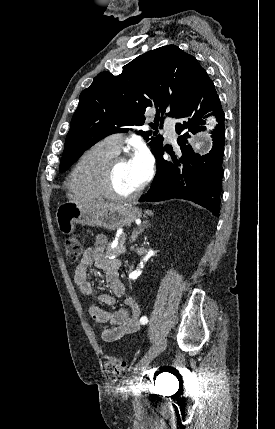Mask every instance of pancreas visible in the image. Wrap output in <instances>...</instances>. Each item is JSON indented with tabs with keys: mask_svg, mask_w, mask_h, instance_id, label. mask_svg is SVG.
<instances>
[{
	"mask_svg": "<svg viewBox=\"0 0 275 429\" xmlns=\"http://www.w3.org/2000/svg\"><path fill=\"white\" fill-rule=\"evenodd\" d=\"M122 237L123 236L119 238L118 245L116 247H111V245L107 247V250H106L107 257H112V256L119 257L120 255L125 253L126 248L122 244L123 243Z\"/></svg>",
	"mask_w": 275,
	"mask_h": 429,
	"instance_id": "pancreas-1",
	"label": "pancreas"
}]
</instances>
